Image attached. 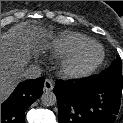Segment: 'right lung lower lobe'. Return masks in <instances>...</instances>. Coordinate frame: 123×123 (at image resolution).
<instances>
[{"label": "right lung lower lobe", "instance_id": "right-lung-lower-lobe-1", "mask_svg": "<svg viewBox=\"0 0 123 123\" xmlns=\"http://www.w3.org/2000/svg\"><path fill=\"white\" fill-rule=\"evenodd\" d=\"M45 78L20 83L1 104V123H25V111L43 93Z\"/></svg>", "mask_w": 123, "mask_h": 123}]
</instances>
